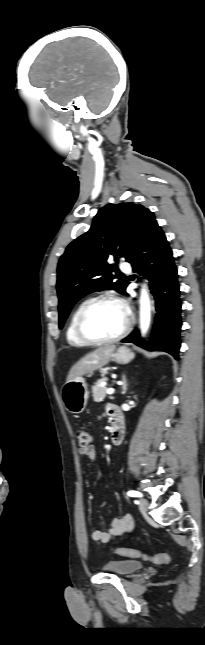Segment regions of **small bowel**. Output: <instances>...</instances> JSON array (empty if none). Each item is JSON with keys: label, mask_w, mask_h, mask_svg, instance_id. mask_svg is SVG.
<instances>
[{"label": "small bowel", "mask_w": 205, "mask_h": 645, "mask_svg": "<svg viewBox=\"0 0 205 645\" xmlns=\"http://www.w3.org/2000/svg\"><path fill=\"white\" fill-rule=\"evenodd\" d=\"M114 408L109 410V415L112 419V412ZM79 454L85 456L90 461H95L97 459V453L93 446L86 448H80ZM134 528V521L131 515H124L122 517L113 518L110 522L109 527L106 530L95 529L90 534V541L93 543H103L107 544L113 539L123 536L126 533H129Z\"/></svg>", "instance_id": "small-bowel-1"}]
</instances>
